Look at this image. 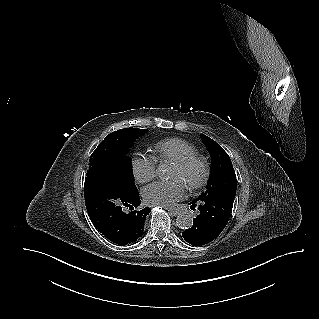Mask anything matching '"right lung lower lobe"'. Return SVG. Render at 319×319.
I'll list each match as a JSON object with an SVG mask.
<instances>
[{"label":"right lung lower lobe","mask_w":319,"mask_h":319,"mask_svg":"<svg viewBox=\"0 0 319 319\" xmlns=\"http://www.w3.org/2000/svg\"><path fill=\"white\" fill-rule=\"evenodd\" d=\"M85 178L84 197L88 215L95 228L117 245L135 242L143 234L150 208L141 209L136 187L128 188L118 166L89 170ZM124 207L133 210L124 212Z\"/></svg>","instance_id":"right-lung-lower-lobe-1"}]
</instances>
